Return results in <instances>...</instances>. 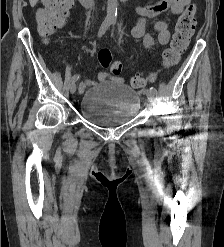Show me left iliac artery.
Wrapping results in <instances>:
<instances>
[{
	"instance_id": "left-iliac-artery-1",
	"label": "left iliac artery",
	"mask_w": 224,
	"mask_h": 247,
	"mask_svg": "<svg viewBox=\"0 0 224 247\" xmlns=\"http://www.w3.org/2000/svg\"><path fill=\"white\" fill-rule=\"evenodd\" d=\"M113 23H114V21H113ZM150 90H151L154 94H156V93H157L156 88H155V87H153V86H151V87H150Z\"/></svg>"
}]
</instances>
